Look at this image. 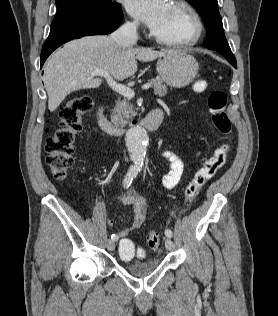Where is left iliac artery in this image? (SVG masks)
I'll return each mask as SVG.
<instances>
[{
	"label": "left iliac artery",
	"mask_w": 278,
	"mask_h": 316,
	"mask_svg": "<svg viewBox=\"0 0 278 316\" xmlns=\"http://www.w3.org/2000/svg\"><path fill=\"white\" fill-rule=\"evenodd\" d=\"M165 235H166L168 238H171L172 235H173V233H172V231H171L170 229H166V230H165Z\"/></svg>",
	"instance_id": "left-iliac-artery-1"
}]
</instances>
